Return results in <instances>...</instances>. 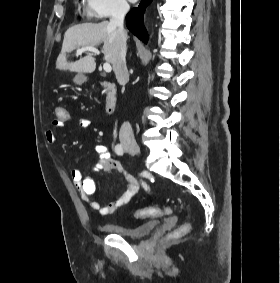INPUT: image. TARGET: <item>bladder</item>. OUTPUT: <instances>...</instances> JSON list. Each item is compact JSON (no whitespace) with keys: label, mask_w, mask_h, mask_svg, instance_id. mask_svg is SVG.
Masks as SVG:
<instances>
[{"label":"bladder","mask_w":280,"mask_h":283,"mask_svg":"<svg viewBox=\"0 0 280 283\" xmlns=\"http://www.w3.org/2000/svg\"><path fill=\"white\" fill-rule=\"evenodd\" d=\"M159 225L157 221H148L136 227H128L121 223H109L103 229L110 234H114L126 239H139L154 231Z\"/></svg>","instance_id":"31cf9c89"}]
</instances>
